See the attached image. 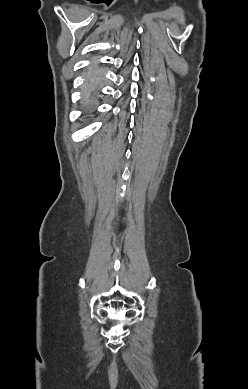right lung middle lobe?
I'll return each instance as SVG.
<instances>
[{
	"mask_svg": "<svg viewBox=\"0 0 248 389\" xmlns=\"http://www.w3.org/2000/svg\"><path fill=\"white\" fill-rule=\"evenodd\" d=\"M101 79V74L98 72H90L88 74V84L85 90V100L88 103V106L91 107L96 99L98 94V84Z\"/></svg>",
	"mask_w": 248,
	"mask_h": 389,
	"instance_id": "obj_1",
	"label": "right lung middle lobe"
}]
</instances>
